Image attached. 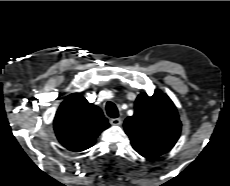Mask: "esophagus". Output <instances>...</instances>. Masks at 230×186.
Listing matches in <instances>:
<instances>
[{
	"label": "esophagus",
	"instance_id": "1",
	"mask_svg": "<svg viewBox=\"0 0 230 186\" xmlns=\"http://www.w3.org/2000/svg\"><path fill=\"white\" fill-rule=\"evenodd\" d=\"M110 123L114 126H119L121 125L122 121L120 118H113L110 120Z\"/></svg>",
	"mask_w": 230,
	"mask_h": 186
}]
</instances>
